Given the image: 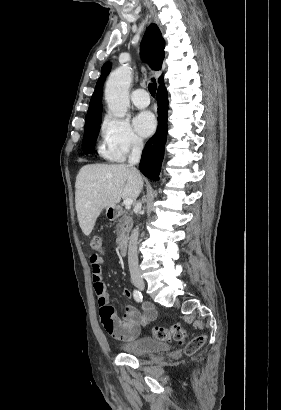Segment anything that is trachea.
Segmentation results:
<instances>
[{
	"label": "trachea",
	"mask_w": 281,
	"mask_h": 410,
	"mask_svg": "<svg viewBox=\"0 0 281 410\" xmlns=\"http://www.w3.org/2000/svg\"><path fill=\"white\" fill-rule=\"evenodd\" d=\"M148 89H149L150 94H151L153 97H155L156 89H157V84L155 83V79H152V82L149 83Z\"/></svg>",
	"instance_id": "1"
}]
</instances>
